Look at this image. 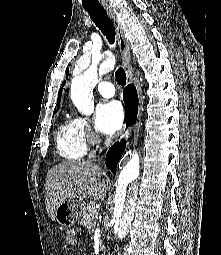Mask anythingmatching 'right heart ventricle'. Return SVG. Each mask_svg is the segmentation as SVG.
I'll return each instance as SVG.
<instances>
[{
	"mask_svg": "<svg viewBox=\"0 0 221 255\" xmlns=\"http://www.w3.org/2000/svg\"><path fill=\"white\" fill-rule=\"evenodd\" d=\"M55 143L57 152L63 159H82L87 153V139L81 119L65 118L57 129Z\"/></svg>",
	"mask_w": 221,
	"mask_h": 255,
	"instance_id": "1",
	"label": "right heart ventricle"
}]
</instances>
